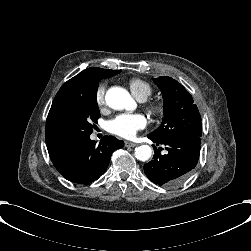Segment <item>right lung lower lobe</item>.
<instances>
[{
    "label": "right lung lower lobe",
    "mask_w": 251,
    "mask_h": 251,
    "mask_svg": "<svg viewBox=\"0 0 251 251\" xmlns=\"http://www.w3.org/2000/svg\"><path fill=\"white\" fill-rule=\"evenodd\" d=\"M95 143L86 136L49 151V156L65 179L89 184L105 173L113 151L124 146L123 141L113 136H104L98 146Z\"/></svg>",
    "instance_id": "1"
}]
</instances>
